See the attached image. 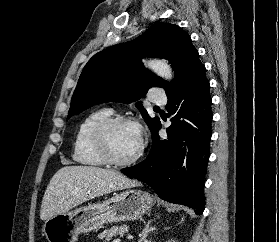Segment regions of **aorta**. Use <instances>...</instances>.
Listing matches in <instances>:
<instances>
[{"mask_svg": "<svg viewBox=\"0 0 279 242\" xmlns=\"http://www.w3.org/2000/svg\"><path fill=\"white\" fill-rule=\"evenodd\" d=\"M146 66L149 69H151L155 74H157L165 80L169 81L173 78L172 69L166 61L152 59L146 63Z\"/></svg>", "mask_w": 279, "mask_h": 242, "instance_id": "1", "label": "aorta"}]
</instances>
